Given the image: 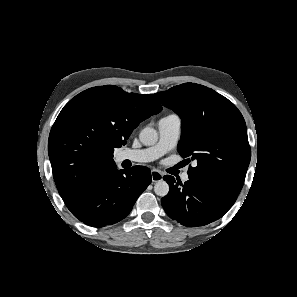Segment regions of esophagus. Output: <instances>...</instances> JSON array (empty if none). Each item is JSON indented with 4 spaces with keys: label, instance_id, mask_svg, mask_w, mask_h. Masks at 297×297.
Masks as SVG:
<instances>
[{
    "label": "esophagus",
    "instance_id": "34e87169",
    "mask_svg": "<svg viewBox=\"0 0 297 297\" xmlns=\"http://www.w3.org/2000/svg\"><path fill=\"white\" fill-rule=\"evenodd\" d=\"M151 178H152L153 182H158V181L163 180V175L157 170H152L151 171Z\"/></svg>",
    "mask_w": 297,
    "mask_h": 297
}]
</instances>
